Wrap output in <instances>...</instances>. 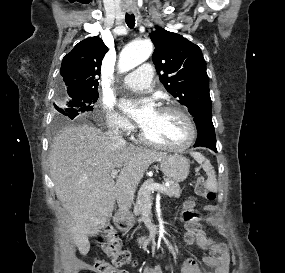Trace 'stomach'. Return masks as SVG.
Instances as JSON below:
<instances>
[{
    "label": "stomach",
    "mask_w": 285,
    "mask_h": 273,
    "mask_svg": "<svg viewBox=\"0 0 285 273\" xmlns=\"http://www.w3.org/2000/svg\"><path fill=\"white\" fill-rule=\"evenodd\" d=\"M162 172L167 179L175 182L184 181L190 169L189 160L181 155H169L160 161Z\"/></svg>",
    "instance_id": "1"
}]
</instances>
